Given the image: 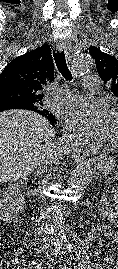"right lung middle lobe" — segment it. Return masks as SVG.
<instances>
[{
  "mask_svg": "<svg viewBox=\"0 0 118 269\" xmlns=\"http://www.w3.org/2000/svg\"><path fill=\"white\" fill-rule=\"evenodd\" d=\"M14 101L19 104H23L26 106H37L38 102L34 99L27 98V97H22V96H14L13 97Z\"/></svg>",
  "mask_w": 118,
  "mask_h": 269,
  "instance_id": "right-lung-middle-lobe-1",
  "label": "right lung middle lobe"
}]
</instances>
